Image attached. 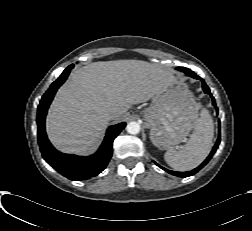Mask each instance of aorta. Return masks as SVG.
I'll use <instances>...</instances> for the list:
<instances>
[{
    "label": "aorta",
    "mask_w": 252,
    "mask_h": 231,
    "mask_svg": "<svg viewBox=\"0 0 252 231\" xmlns=\"http://www.w3.org/2000/svg\"><path fill=\"white\" fill-rule=\"evenodd\" d=\"M141 126L137 122H130L126 126V130L129 134H138L140 132Z\"/></svg>",
    "instance_id": "762f6f07"
}]
</instances>
